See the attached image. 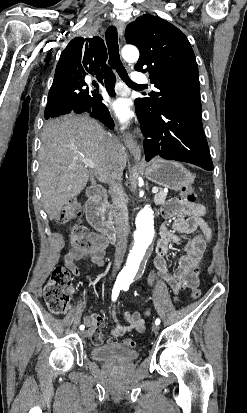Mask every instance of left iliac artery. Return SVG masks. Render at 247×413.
I'll list each match as a JSON object with an SVG mask.
<instances>
[{
  "instance_id": "1",
  "label": "left iliac artery",
  "mask_w": 247,
  "mask_h": 413,
  "mask_svg": "<svg viewBox=\"0 0 247 413\" xmlns=\"http://www.w3.org/2000/svg\"><path fill=\"white\" fill-rule=\"evenodd\" d=\"M122 289H123L124 291H127V290L129 289V284L123 285V286H122ZM155 324H156V325H159V324H160V319H159V318H157V319L155 320Z\"/></svg>"
}]
</instances>
